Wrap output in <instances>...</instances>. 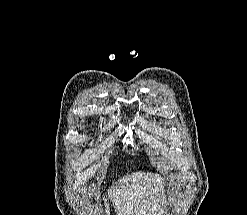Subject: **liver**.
<instances>
[{
	"label": "liver",
	"mask_w": 247,
	"mask_h": 215,
	"mask_svg": "<svg viewBox=\"0 0 247 215\" xmlns=\"http://www.w3.org/2000/svg\"><path fill=\"white\" fill-rule=\"evenodd\" d=\"M162 179L158 174L144 172L119 179L116 186L108 189L116 215H155L165 197Z\"/></svg>",
	"instance_id": "obj_1"
}]
</instances>
